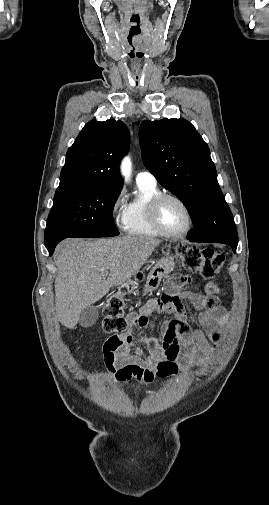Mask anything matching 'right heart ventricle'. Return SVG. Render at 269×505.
Here are the masks:
<instances>
[{
    "instance_id": "e07e8e85",
    "label": "right heart ventricle",
    "mask_w": 269,
    "mask_h": 505,
    "mask_svg": "<svg viewBox=\"0 0 269 505\" xmlns=\"http://www.w3.org/2000/svg\"><path fill=\"white\" fill-rule=\"evenodd\" d=\"M139 194L126 206L124 230L131 236L157 237L160 234L153 228L148 216V203L160 193L156 185L137 183Z\"/></svg>"
}]
</instances>
